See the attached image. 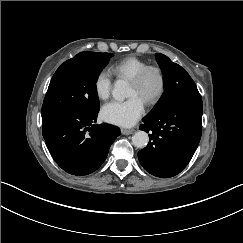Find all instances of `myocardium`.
I'll return each mask as SVG.
<instances>
[{
    "label": "myocardium",
    "instance_id": "myocardium-1",
    "mask_svg": "<svg viewBox=\"0 0 243 243\" xmlns=\"http://www.w3.org/2000/svg\"><path fill=\"white\" fill-rule=\"evenodd\" d=\"M153 70L156 71L159 74L160 80H161V85H160V89H159L157 95L155 97H153L152 99H149L146 102L149 106H152V105L159 103L164 98V96L166 94L167 86H168V80H167V75H166L165 70L160 65L147 64L136 75H134L130 79L131 83H133L135 85H139L143 82L146 75L150 71H153Z\"/></svg>",
    "mask_w": 243,
    "mask_h": 243
}]
</instances>
